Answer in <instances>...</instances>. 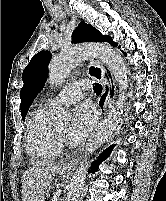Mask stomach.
<instances>
[{
    "label": "stomach",
    "mask_w": 166,
    "mask_h": 201,
    "mask_svg": "<svg viewBox=\"0 0 166 201\" xmlns=\"http://www.w3.org/2000/svg\"><path fill=\"white\" fill-rule=\"evenodd\" d=\"M68 171H69V169L66 170V171H62V173L65 174V173H67ZM63 174H62L61 176H63Z\"/></svg>",
    "instance_id": "1"
}]
</instances>
